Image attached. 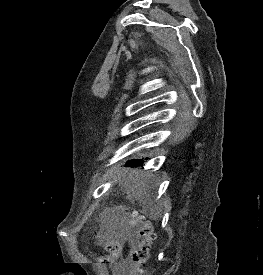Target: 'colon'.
I'll list each match as a JSON object with an SVG mask.
<instances>
[{
    "instance_id": "1",
    "label": "colon",
    "mask_w": 263,
    "mask_h": 275,
    "mask_svg": "<svg viewBox=\"0 0 263 275\" xmlns=\"http://www.w3.org/2000/svg\"><path fill=\"white\" fill-rule=\"evenodd\" d=\"M128 229L131 240L130 260L122 275H145L154 239L152 227L140 215L132 212L128 220ZM120 252L121 247L117 242L107 243L105 254L100 257L101 263H114Z\"/></svg>"
}]
</instances>
